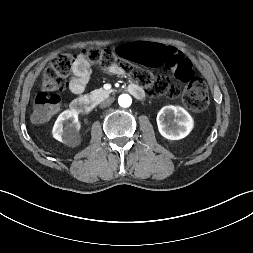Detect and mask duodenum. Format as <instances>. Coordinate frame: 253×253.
Wrapping results in <instances>:
<instances>
[{"mask_svg":"<svg viewBox=\"0 0 253 253\" xmlns=\"http://www.w3.org/2000/svg\"><path fill=\"white\" fill-rule=\"evenodd\" d=\"M126 89L138 99L144 97L142 89L136 84H129ZM105 96L106 94L79 97L71 103V109L81 115L90 114L96 108L99 101Z\"/></svg>","mask_w":253,"mask_h":253,"instance_id":"obj_1","label":"duodenum"}]
</instances>
